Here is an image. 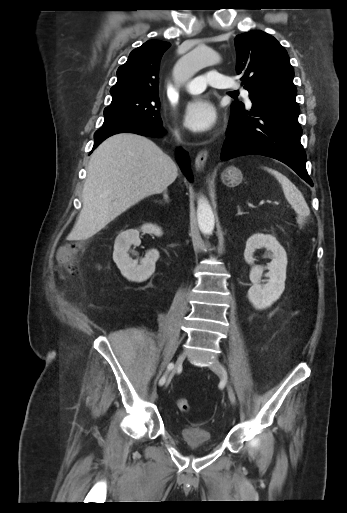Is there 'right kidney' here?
Masks as SVG:
<instances>
[{"label": "right kidney", "instance_id": "1", "mask_svg": "<svg viewBox=\"0 0 347 513\" xmlns=\"http://www.w3.org/2000/svg\"><path fill=\"white\" fill-rule=\"evenodd\" d=\"M141 231L162 236V229L154 224H144ZM138 230H126L121 232L114 243L113 260L120 269L121 274L130 281L142 282L147 280L155 271V263L159 258V252L151 249L146 256L138 263L129 256L131 245H140Z\"/></svg>", "mask_w": 347, "mask_h": 513}]
</instances>
